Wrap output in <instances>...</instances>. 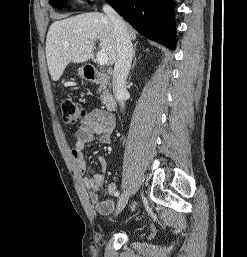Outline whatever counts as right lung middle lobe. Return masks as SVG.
I'll use <instances>...</instances> for the list:
<instances>
[{"mask_svg": "<svg viewBox=\"0 0 247 257\" xmlns=\"http://www.w3.org/2000/svg\"><path fill=\"white\" fill-rule=\"evenodd\" d=\"M53 7H59L65 0H49Z\"/></svg>", "mask_w": 247, "mask_h": 257, "instance_id": "dd1d6c3e", "label": "right lung middle lobe"}]
</instances>
